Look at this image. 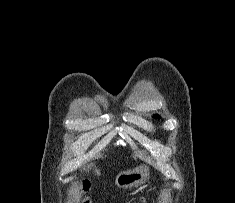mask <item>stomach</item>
Listing matches in <instances>:
<instances>
[{
	"mask_svg": "<svg viewBox=\"0 0 235 203\" xmlns=\"http://www.w3.org/2000/svg\"><path fill=\"white\" fill-rule=\"evenodd\" d=\"M148 176L149 168L140 166L133 170L119 173L115 179V184L120 188L134 187L142 184Z\"/></svg>",
	"mask_w": 235,
	"mask_h": 203,
	"instance_id": "stomach-1",
	"label": "stomach"
}]
</instances>
